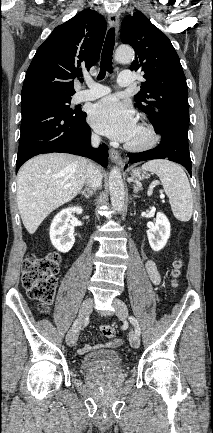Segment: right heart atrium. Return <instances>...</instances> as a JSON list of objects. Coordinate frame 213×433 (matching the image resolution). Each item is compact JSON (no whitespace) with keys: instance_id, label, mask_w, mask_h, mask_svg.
<instances>
[{"instance_id":"right-heart-atrium-1","label":"right heart atrium","mask_w":213,"mask_h":433,"mask_svg":"<svg viewBox=\"0 0 213 433\" xmlns=\"http://www.w3.org/2000/svg\"><path fill=\"white\" fill-rule=\"evenodd\" d=\"M94 138H98V136L96 134H94Z\"/></svg>"}]
</instances>
